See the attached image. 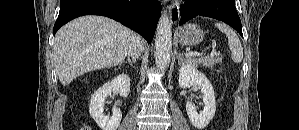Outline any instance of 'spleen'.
Instances as JSON below:
<instances>
[{"label":"spleen","mask_w":299,"mask_h":130,"mask_svg":"<svg viewBox=\"0 0 299 130\" xmlns=\"http://www.w3.org/2000/svg\"><path fill=\"white\" fill-rule=\"evenodd\" d=\"M215 26L228 37L232 60L235 63H240L243 59V48L237 34L223 23H215Z\"/></svg>","instance_id":"1"}]
</instances>
